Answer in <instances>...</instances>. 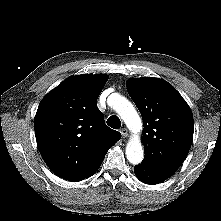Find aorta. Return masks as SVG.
I'll list each match as a JSON object with an SVG mask.
<instances>
[{
  "instance_id": "762f6f07",
  "label": "aorta",
  "mask_w": 221,
  "mask_h": 221,
  "mask_svg": "<svg viewBox=\"0 0 221 221\" xmlns=\"http://www.w3.org/2000/svg\"><path fill=\"white\" fill-rule=\"evenodd\" d=\"M112 98L115 99L113 108L123 119L128 129L135 134L131 137L126 146L127 160L133 165L139 164L144 157L140 138L136 135L142 128L141 119L133 105L128 100L119 95H112L108 100L110 101Z\"/></svg>"
}]
</instances>
